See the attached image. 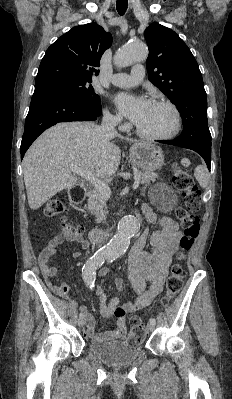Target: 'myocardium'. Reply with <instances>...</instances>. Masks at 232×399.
Segmentation results:
<instances>
[{"label":"myocardium","instance_id":"myocardium-1","mask_svg":"<svg viewBox=\"0 0 232 399\" xmlns=\"http://www.w3.org/2000/svg\"><path fill=\"white\" fill-rule=\"evenodd\" d=\"M152 104H156V105H165L168 106L174 115V127L173 129L165 134V135H161V136H149L146 135L144 133H142L137 126H134V132L135 134L143 141H147V142H163V141H167L170 140L172 138H174L175 136L178 135V133L181 130L182 127V117H181V113L179 108L172 102L164 100V99H160V100H152L151 101Z\"/></svg>","mask_w":232,"mask_h":399}]
</instances>
